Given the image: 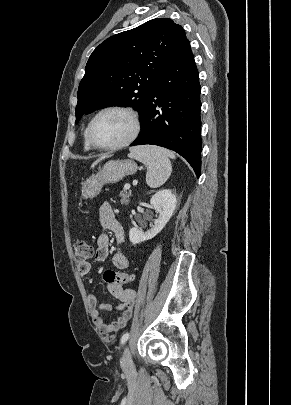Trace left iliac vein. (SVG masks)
I'll return each mask as SVG.
<instances>
[{"mask_svg":"<svg viewBox=\"0 0 291 405\" xmlns=\"http://www.w3.org/2000/svg\"><path fill=\"white\" fill-rule=\"evenodd\" d=\"M123 364L126 371H131L134 367L132 356L128 347H126L123 352Z\"/></svg>","mask_w":291,"mask_h":405,"instance_id":"4c4485c4","label":"left iliac vein"}]
</instances>
